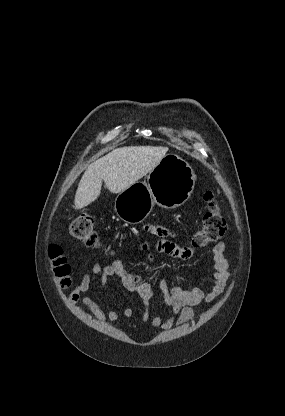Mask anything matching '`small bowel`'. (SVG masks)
<instances>
[{"instance_id": "small-bowel-1", "label": "small bowel", "mask_w": 285, "mask_h": 416, "mask_svg": "<svg viewBox=\"0 0 285 416\" xmlns=\"http://www.w3.org/2000/svg\"><path fill=\"white\" fill-rule=\"evenodd\" d=\"M149 232L156 236V240L145 242L140 245L141 251L155 250L167 254L180 260L190 259L194 255V247L191 245L180 246L172 239L175 233L163 226H150ZM226 246L224 242H218L212 249L213 271L205 279L214 283L210 291H204L198 285L182 287L172 285L167 280L162 279L155 288L143 276L134 274L128 270L126 264L121 260H116L106 266L95 263L90 273H85L80 282L69 295L71 303L82 301L80 309L89 311L100 322H117L120 314L112 307L106 309L101 306L86 293L92 288L95 279L99 280L102 287L106 286L109 279L116 277L121 285L129 292L135 293L141 300L144 312L141 318L142 323H150L151 327L163 331L173 327H180L194 319L193 307L201 303H212L224 292L230 276L229 261L225 255ZM160 296L165 306L169 309L167 316L158 314L150 319L149 310L151 302ZM122 314L131 317L133 310L124 307Z\"/></svg>"}]
</instances>
